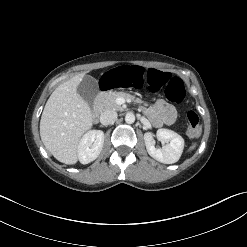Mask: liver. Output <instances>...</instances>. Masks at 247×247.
<instances>
[{
    "label": "liver",
    "instance_id": "1",
    "mask_svg": "<svg viewBox=\"0 0 247 247\" xmlns=\"http://www.w3.org/2000/svg\"><path fill=\"white\" fill-rule=\"evenodd\" d=\"M85 73L59 85L51 94L40 120V136L46 149L60 162L75 164L78 145L93 125L92 111L77 93Z\"/></svg>",
    "mask_w": 247,
    "mask_h": 247
}]
</instances>
